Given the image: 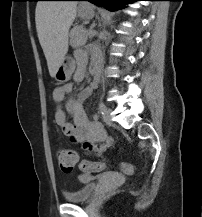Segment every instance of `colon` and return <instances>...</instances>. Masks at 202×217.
Here are the masks:
<instances>
[{
    "instance_id": "1",
    "label": "colon",
    "mask_w": 202,
    "mask_h": 217,
    "mask_svg": "<svg viewBox=\"0 0 202 217\" xmlns=\"http://www.w3.org/2000/svg\"><path fill=\"white\" fill-rule=\"evenodd\" d=\"M56 159L60 169L65 172L72 171L79 160L77 151L70 148L58 149L56 151ZM106 167V164L103 162L80 161V168L85 172L99 173L104 171ZM120 168L125 174H133L135 171L134 166L127 162H122Z\"/></svg>"
}]
</instances>
